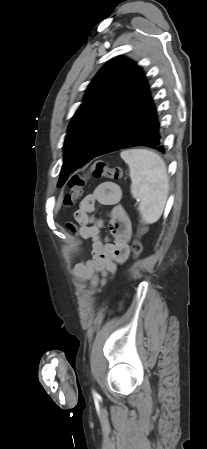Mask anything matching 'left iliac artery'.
<instances>
[{"label": "left iliac artery", "mask_w": 207, "mask_h": 449, "mask_svg": "<svg viewBox=\"0 0 207 449\" xmlns=\"http://www.w3.org/2000/svg\"><path fill=\"white\" fill-rule=\"evenodd\" d=\"M93 395H94V396H98V394H97L95 391H93Z\"/></svg>", "instance_id": "44dca946"}]
</instances>
